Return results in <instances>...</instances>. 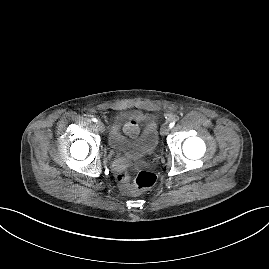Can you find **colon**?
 Returning <instances> with one entry per match:
<instances>
[{
  "label": "colon",
  "mask_w": 269,
  "mask_h": 269,
  "mask_svg": "<svg viewBox=\"0 0 269 269\" xmlns=\"http://www.w3.org/2000/svg\"><path fill=\"white\" fill-rule=\"evenodd\" d=\"M156 179V174L148 170L135 174L132 170L125 169L117 174V180L124 185L125 191L131 194L153 187Z\"/></svg>",
  "instance_id": "5ec220e1"
}]
</instances>
